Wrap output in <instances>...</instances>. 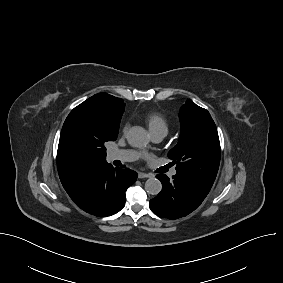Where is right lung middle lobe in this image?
I'll return each mask as SVG.
<instances>
[{"mask_svg":"<svg viewBox=\"0 0 283 283\" xmlns=\"http://www.w3.org/2000/svg\"><path fill=\"white\" fill-rule=\"evenodd\" d=\"M124 107L107 111L89 99L75 107L63 124L57 157L80 167L106 162L105 144L116 140Z\"/></svg>","mask_w":283,"mask_h":283,"instance_id":"obj_1","label":"right lung middle lobe"}]
</instances>
